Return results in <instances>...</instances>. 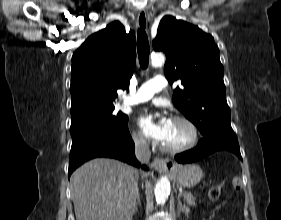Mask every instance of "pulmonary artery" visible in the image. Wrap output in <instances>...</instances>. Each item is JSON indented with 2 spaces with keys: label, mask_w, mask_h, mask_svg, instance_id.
Returning <instances> with one entry per match:
<instances>
[{
  "label": "pulmonary artery",
  "mask_w": 281,
  "mask_h": 220,
  "mask_svg": "<svg viewBox=\"0 0 281 220\" xmlns=\"http://www.w3.org/2000/svg\"><path fill=\"white\" fill-rule=\"evenodd\" d=\"M167 85V81L163 76H155L146 83H144L138 91L132 96L128 97L126 102L128 104H138L146 102L153 98V96L162 91Z\"/></svg>",
  "instance_id": "e3ab8cb5"
}]
</instances>
